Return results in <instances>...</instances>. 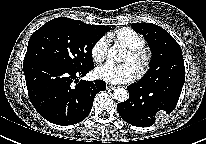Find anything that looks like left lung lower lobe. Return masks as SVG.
<instances>
[{"label": "left lung lower lobe", "instance_id": "obj_1", "mask_svg": "<svg viewBox=\"0 0 206 144\" xmlns=\"http://www.w3.org/2000/svg\"><path fill=\"white\" fill-rule=\"evenodd\" d=\"M184 82L185 73H179L150 86L139 82L131 84L127 87L129 99L118 103V113L124 121L133 126L149 127L158 116L174 110Z\"/></svg>", "mask_w": 206, "mask_h": 144}]
</instances>
